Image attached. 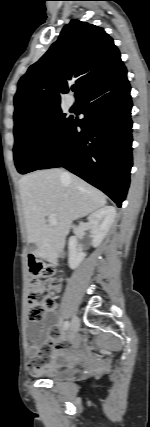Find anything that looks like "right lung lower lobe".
I'll return each instance as SVG.
<instances>
[{
  "mask_svg": "<svg viewBox=\"0 0 150 427\" xmlns=\"http://www.w3.org/2000/svg\"><path fill=\"white\" fill-rule=\"evenodd\" d=\"M126 75L122 65L77 99L85 117L69 122L37 168L64 167L105 192L118 207L125 200L132 167V102Z\"/></svg>",
  "mask_w": 150,
  "mask_h": 427,
  "instance_id": "right-lung-lower-lobe-1",
  "label": "right lung lower lobe"
}]
</instances>
